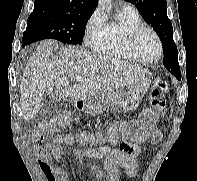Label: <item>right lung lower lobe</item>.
Returning <instances> with one entry per match:
<instances>
[{
  "label": "right lung lower lobe",
  "mask_w": 197,
  "mask_h": 181,
  "mask_svg": "<svg viewBox=\"0 0 197 181\" xmlns=\"http://www.w3.org/2000/svg\"><path fill=\"white\" fill-rule=\"evenodd\" d=\"M25 45H27V43L26 42H23L22 46H25Z\"/></svg>",
  "instance_id": "right-lung-lower-lobe-1"
}]
</instances>
